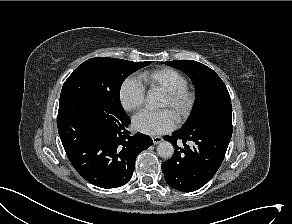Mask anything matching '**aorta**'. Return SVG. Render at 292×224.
Returning <instances> with one entry per match:
<instances>
[{
    "instance_id": "obj_1",
    "label": "aorta",
    "mask_w": 292,
    "mask_h": 224,
    "mask_svg": "<svg viewBox=\"0 0 292 224\" xmlns=\"http://www.w3.org/2000/svg\"><path fill=\"white\" fill-rule=\"evenodd\" d=\"M161 96L158 92L149 91L146 96V101L149 107H158ZM157 153L162 158H171L174 154V147L168 141H162L157 146Z\"/></svg>"
}]
</instances>
